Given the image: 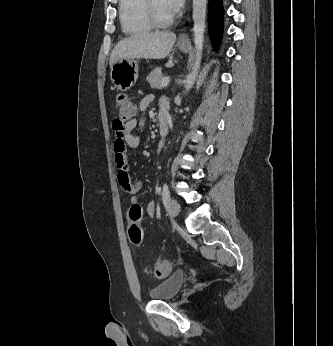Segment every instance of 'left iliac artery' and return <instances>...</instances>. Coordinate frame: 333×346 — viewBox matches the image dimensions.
<instances>
[{
	"mask_svg": "<svg viewBox=\"0 0 333 346\" xmlns=\"http://www.w3.org/2000/svg\"><path fill=\"white\" fill-rule=\"evenodd\" d=\"M169 200H170V191H169L167 183H164L163 189H162V201H163V204L165 206H167Z\"/></svg>",
	"mask_w": 333,
	"mask_h": 346,
	"instance_id": "obj_1",
	"label": "left iliac artery"
}]
</instances>
